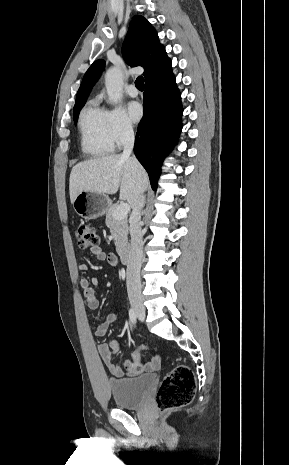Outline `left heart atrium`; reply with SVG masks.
<instances>
[{"instance_id": "obj_1", "label": "left heart atrium", "mask_w": 289, "mask_h": 465, "mask_svg": "<svg viewBox=\"0 0 289 465\" xmlns=\"http://www.w3.org/2000/svg\"><path fill=\"white\" fill-rule=\"evenodd\" d=\"M128 114L132 121L139 122L143 117V108L138 102H131L128 105Z\"/></svg>"}]
</instances>
